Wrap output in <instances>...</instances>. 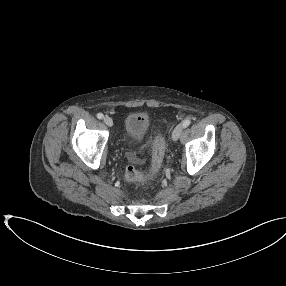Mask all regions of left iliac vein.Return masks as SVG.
<instances>
[{
  "label": "left iliac vein",
  "mask_w": 286,
  "mask_h": 286,
  "mask_svg": "<svg viewBox=\"0 0 286 286\" xmlns=\"http://www.w3.org/2000/svg\"><path fill=\"white\" fill-rule=\"evenodd\" d=\"M182 132H183V126L182 125L176 126L172 132V140L177 141L181 136Z\"/></svg>",
  "instance_id": "obj_1"
}]
</instances>
